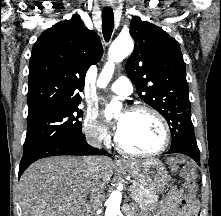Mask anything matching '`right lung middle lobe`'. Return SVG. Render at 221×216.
Returning a JSON list of instances; mask_svg holds the SVG:
<instances>
[{
	"mask_svg": "<svg viewBox=\"0 0 221 216\" xmlns=\"http://www.w3.org/2000/svg\"><path fill=\"white\" fill-rule=\"evenodd\" d=\"M82 116L78 104L28 116L23 155L54 141L81 135Z\"/></svg>",
	"mask_w": 221,
	"mask_h": 216,
	"instance_id": "1",
	"label": "right lung middle lobe"
}]
</instances>
